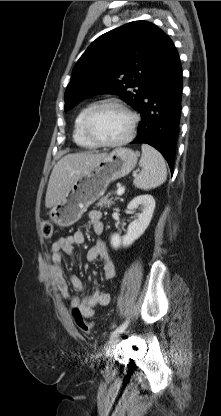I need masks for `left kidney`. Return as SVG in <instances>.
Here are the masks:
<instances>
[{
  "label": "left kidney",
  "mask_w": 221,
  "mask_h": 416,
  "mask_svg": "<svg viewBox=\"0 0 221 416\" xmlns=\"http://www.w3.org/2000/svg\"><path fill=\"white\" fill-rule=\"evenodd\" d=\"M130 211L141 209V213L137 214V218L128 226L127 234L121 238L118 234L111 236V246L115 249L123 246H130L137 240L147 229L152 219L155 209V200L151 195H140L135 197L127 206Z\"/></svg>",
  "instance_id": "1"
}]
</instances>
